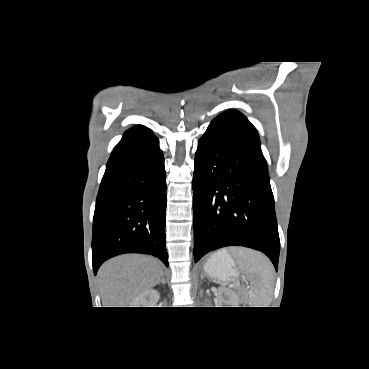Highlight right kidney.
Listing matches in <instances>:
<instances>
[{
    "mask_svg": "<svg viewBox=\"0 0 369 369\" xmlns=\"http://www.w3.org/2000/svg\"><path fill=\"white\" fill-rule=\"evenodd\" d=\"M160 298L159 292L154 289L147 290L136 296L130 303L131 307H151L153 302Z\"/></svg>",
    "mask_w": 369,
    "mask_h": 369,
    "instance_id": "1",
    "label": "right kidney"
}]
</instances>
